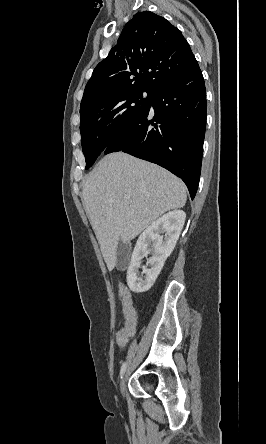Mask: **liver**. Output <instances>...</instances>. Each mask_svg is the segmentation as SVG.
Returning <instances> with one entry per match:
<instances>
[{"instance_id":"1","label":"liver","mask_w":266,"mask_h":444,"mask_svg":"<svg viewBox=\"0 0 266 444\" xmlns=\"http://www.w3.org/2000/svg\"><path fill=\"white\" fill-rule=\"evenodd\" d=\"M82 195L109 271L116 266L120 240L130 242L165 212L184 207L187 200L179 178L123 152L109 154L98 162Z\"/></svg>"}]
</instances>
